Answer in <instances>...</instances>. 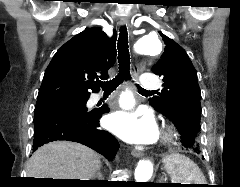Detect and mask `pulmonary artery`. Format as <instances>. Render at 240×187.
<instances>
[{"label": "pulmonary artery", "instance_id": "obj_1", "mask_svg": "<svg viewBox=\"0 0 240 187\" xmlns=\"http://www.w3.org/2000/svg\"><path fill=\"white\" fill-rule=\"evenodd\" d=\"M140 83L143 86L144 89L146 90H154L158 87V83L156 81V78L152 74H147V75H142L140 77ZM99 101V97L95 96L94 97V102Z\"/></svg>", "mask_w": 240, "mask_h": 187}]
</instances>
